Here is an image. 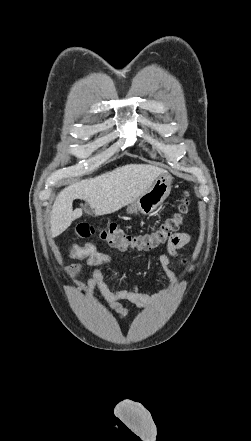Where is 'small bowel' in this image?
I'll return each mask as SVG.
<instances>
[{"mask_svg": "<svg viewBox=\"0 0 251 441\" xmlns=\"http://www.w3.org/2000/svg\"><path fill=\"white\" fill-rule=\"evenodd\" d=\"M190 235L185 232L174 234L167 243V253L159 257L160 267L165 274L169 286L153 294H145L139 291L137 286L132 288H110L105 282L104 274L99 269L100 265L111 264L114 261L113 256L102 253L93 243L85 245L69 244L66 251L71 258L84 260L91 267L90 277L86 282H79V289L92 298L95 290L99 292L101 297L109 303V311L120 317L126 318L129 314L124 308L121 301L130 302L140 308H151L160 303L170 293L177 282V277L170 267V257L177 256L178 251L190 242ZM83 265L78 263L65 269L66 273L71 276H77L82 273Z\"/></svg>", "mask_w": 251, "mask_h": 441, "instance_id": "obj_1", "label": "small bowel"}]
</instances>
